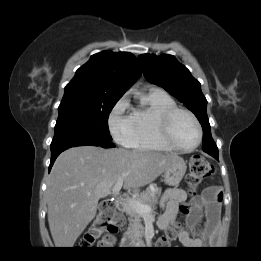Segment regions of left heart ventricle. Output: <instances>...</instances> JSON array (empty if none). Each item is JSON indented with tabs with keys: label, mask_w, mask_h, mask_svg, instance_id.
Segmentation results:
<instances>
[{
	"label": "left heart ventricle",
	"mask_w": 261,
	"mask_h": 261,
	"mask_svg": "<svg viewBox=\"0 0 261 261\" xmlns=\"http://www.w3.org/2000/svg\"><path fill=\"white\" fill-rule=\"evenodd\" d=\"M171 132L174 141L182 147L194 145L198 139V132L193 120L184 113L175 116Z\"/></svg>",
	"instance_id": "b2bd125f"
}]
</instances>
